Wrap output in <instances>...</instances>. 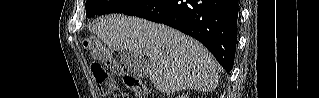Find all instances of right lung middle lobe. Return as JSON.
Masks as SVG:
<instances>
[{
    "instance_id": "1",
    "label": "right lung middle lobe",
    "mask_w": 319,
    "mask_h": 98,
    "mask_svg": "<svg viewBox=\"0 0 319 98\" xmlns=\"http://www.w3.org/2000/svg\"><path fill=\"white\" fill-rule=\"evenodd\" d=\"M146 0H87L86 15L93 17L94 15L126 12Z\"/></svg>"
}]
</instances>
